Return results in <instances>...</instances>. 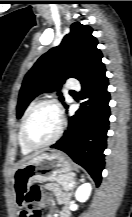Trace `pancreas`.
<instances>
[{
  "mask_svg": "<svg viewBox=\"0 0 132 217\" xmlns=\"http://www.w3.org/2000/svg\"><path fill=\"white\" fill-rule=\"evenodd\" d=\"M55 181L63 188V190L69 191L73 188L70 184L75 183V178L73 174H61L55 178Z\"/></svg>",
  "mask_w": 132,
  "mask_h": 217,
  "instance_id": "pancreas-1",
  "label": "pancreas"
}]
</instances>
